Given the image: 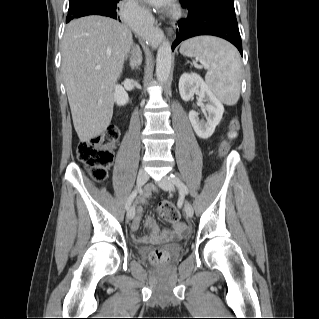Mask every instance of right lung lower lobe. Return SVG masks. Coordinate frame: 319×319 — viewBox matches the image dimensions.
Listing matches in <instances>:
<instances>
[{
  "instance_id": "98d812e1",
  "label": "right lung lower lobe",
  "mask_w": 319,
  "mask_h": 319,
  "mask_svg": "<svg viewBox=\"0 0 319 319\" xmlns=\"http://www.w3.org/2000/svg\"><path fill=\"white\" fill-rule=\"evenodd\" d=\"M119 1L120 0H99L89 7H86L85 9L76 13L72 19L88 15H102L117 19L119 18V16H117L119 11L117 3ZM70 20L71 19H66V22H69Z\"/></svg>"
}]
</instances>
